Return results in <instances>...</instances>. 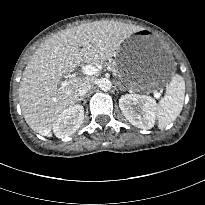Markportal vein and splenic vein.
Masks as SVG:
<instances>
[{"mask_svg":"<svg viewBox=\"0 0 205 205\" xmlns=\"http://www.w3.org/2000/svg\"><path fill=\"white\" fill-rule=\"evenodd\" d=\"M98 71V69L95 67V66H92V65H86L83 67L82 69V72L85 74V75H94L96 74ZM154 96L156 98H159L160 97V93L159 92H155L154 93Z\"/></svg>","mask_w":205,"mask_h":205,"instance_id":"18ae733b","label":"portal vein and splenic vein"}]
</instances>
